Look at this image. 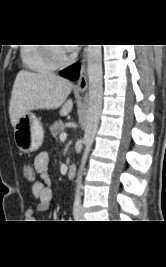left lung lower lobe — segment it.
Instances as JSON below:
<instances>
[{"instance_id":"1","label":"left lung lower lobe","mask_w":166,"mask_h":267,"mask_svg":"<svg viewBox=\"0 0 166 267\" xmlns=\"http://www.w3.org/2000/svg\"><path fill=\"white\" fill-rule=\"evenodd\" d=\"M79 69H80V65L79 64H75L73 66H70L64 70H62L60 72V75L69 79H77L78 75H79Z\"/></svg>"}]
</instances>
